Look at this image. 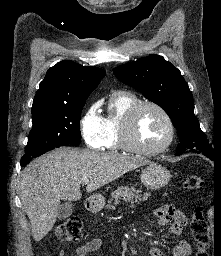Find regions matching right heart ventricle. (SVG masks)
I'll return each instance as SVG.
<instances>
[{
    "mask_svg": "<svg viewBox=\"0 0 221 256\" xmlns=\"http://www.w3.org/2000/svg\"><path fill=\"white\" fill-rule=\"evenodd\" d=\"M136 103L137 97L130 92H116L108 101L107 115L104 118L105 140L103 148L116 152L127 150L121 140V128L127 111Z\"/></svg>",
    "mask_w": 221,
    "mask_h": 256,
    "instance_id": "1",
    "label": "right heart ventricle"
}]
</instances>
